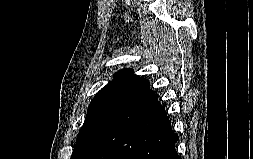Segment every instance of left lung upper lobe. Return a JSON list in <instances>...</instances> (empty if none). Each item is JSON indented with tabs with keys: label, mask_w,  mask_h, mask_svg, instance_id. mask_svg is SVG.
I'll return each mask as SVG.
<instances>
[{
	"label": "left lung upper lobe",
	"mask_w": 253,
	"mask_h": 159,
	"mask_svg": "<svg viewBox=\"0 0 253 159\" xmlns=\"http://www.w3.org/2000/svg\"><path fill=\"white\" fill-rule=\"evenodd\" d=\"M92 99L71 159H88L108 124L132 101L149 89V82L123 69Z\"/></svg>",
	"instance_id": "5c2ea615"
}]
</instances>
